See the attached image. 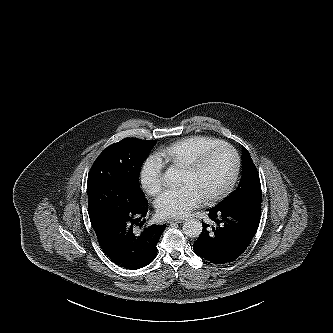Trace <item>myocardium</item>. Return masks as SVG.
Wrapping results in <instances>:
<instances>
[{"mask_svg": "<svg viewBox=\"0 0 333 333\" xmlns=\"http://www.w3.org/2000/svg\"><path fill=\"white\" fill-rule=\"evenodd\" d=\"M221 148H228L230 149L234 156H235V168L233 171V174L227 184L218 192L215 194L208 196L204 199V202L206 204H213L216 203L222 199H224L226 196L229 195V193L233 190L238 177L240 175L241 171V157L237 149L230 143L221 141L215 145H212L206 149H204L202 152H200L193 160H191L188 164L183 166L181 169L182 171L188 172V173H194L197 172L206 162L208 157L214 153L216 150L221 149Z\"/></svg>", "mask_w": 333, "mask_h": 333, "instance_id": "myocardium-1", "label": "myocardium"}]
</instances>
